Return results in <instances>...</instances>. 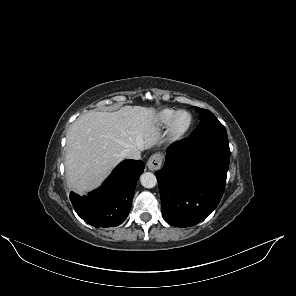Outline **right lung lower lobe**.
Here are the masks:
<instances>
[{"label": "right lung lower lobe", "mask_w": 296, "mask_h": 296, "mask_svg": "<svg viewBox=\"0 0 296 296\" xmlns=\"http://www.w3.org/2000/svg\"><path fill=\"white\" fill-rule=\"evenodd\" d=\"M144 162H121L103 185L88 196L70 193L72 205L85 222L95 227L120 225L128 216L137 180L143 173Z\"/></svg>", "instance_id": "obj_1"}]
</instances>
